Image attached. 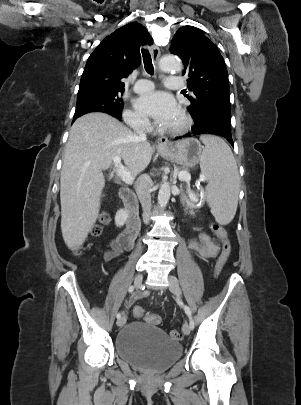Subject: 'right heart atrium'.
Wrapping results in <instances>:
<instances>
[{
	"label": "right heart atrium",
	"instance_id": "obj_1",
	"mask_svg": "<svg viewBox=\"0 0 301 405\" xmlns=\"http://www.w3.org/2000/svg\"><path fill=\"white\" fill-rule=\"evenodd\" d=\"M124 120L134 130H147L150 127V122L147 118L132 110L124 112Z\"/></svg>",
	"mask_w": 301,
	"mask_h": 405
}]
</instances>
